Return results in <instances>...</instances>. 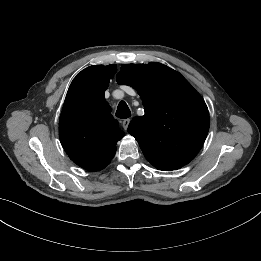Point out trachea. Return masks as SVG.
Masks as SVG:
<instances>
[{
	"label": "trachea",
	"instance_id": "obj_1",
	"mask_svg": "<svg viewBox=\"0 0 261 261\" xmlns=\"http://www.w3.org/2000/svg\"><path fill=\"white\" fill-rule=\"evenodd\" d=\"M115 115L118 118H121V119H126V118H129L131 116V111H130L128 105L126 104V102L121 101L118 104V108H117Z\"/></svg>",
	"mask_w": 261,
	"mask_h": 261
}]
</instances>
